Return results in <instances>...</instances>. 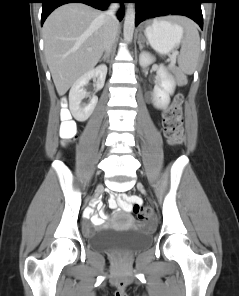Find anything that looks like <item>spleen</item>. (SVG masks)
I'll return each instance as SVG.
<instances>
[{
	"label": "spleen",
	"mask_w": 239,
	"mask_h": 296,
	"mask_svg": "<svg viewBox=\"0 0 239 296\" xmlns=\"http://www.w3.org/2000/svg\"><path fill=\"white\" fill-rule=\"evenodd\" d=\"M173 20L183 25L185 29V37L178 59L179 67L184 73L191 75L195 70L200 51L199 33L192 23L180 21L177 18H173Z\"/></svg>",
	"instance_id": "3e777b00"
}]
</instances>
